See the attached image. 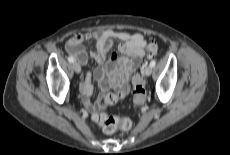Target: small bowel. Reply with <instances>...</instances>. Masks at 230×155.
Segmentation results:
<instances>
[{"instance_id": "obj_1", "label": "small bowel", "mask_w": 230, "mask_h": 155, "mask_svg": "<svg viewBox=\"0 0 230 155\" xmlns=\"http://www.w3.org/2000/svg\"><path fill=\"white\" fill-rule=\"evenodd\" d=\"M83 43H94V48L89 55L99 65L93 71V76L97 79L102 91L99 100L91 101L93 88L90 72L84 75L81 84L83 104L90 112H94L97 109L115 104L128 94L130 75L140 64L147 43L140 33L101 30L77 34L67 41L66 51L76 59L79 65H85L88 60V55L82 48ZM115 44H118V52L113 53L110 59L106 61L108 51ZM110 88H114L116 91L107 93ZM110 97H114L115 100L110 101Z\"/></svg>"}]
</instances>
